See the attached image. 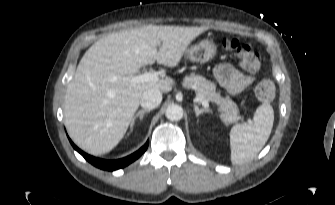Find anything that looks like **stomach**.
Here are the masks:
<instances>
[{
  "mask_svg": "<svg viewBox=\"0 0 335 205\" xmlns=\"http://www.w3.org/2000/svg\"><path fill=\"white\" fill-rule=\"evenodd\" d=\"M217 46L211 40H202L186 50V56L193 62L204 63L214 58Z\"/></svg>",
  "mask_w": 335,
  "mask_h": 205,
  "instance_id": "obj_1",
  "label": "stomach"
}]
</instances>
